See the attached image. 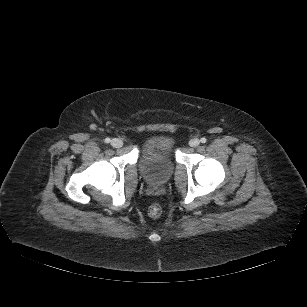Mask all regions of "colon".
I'll use <instances>...</instances> for the list:
<instances>
[{
    "mask_svg": "<svg viewBox=\"0 0 307 307\" xmlns=\"http://www.w3.org/2000/svg\"><path fill=\"white\" fill-rule=\"evenodd\" d=\"M148 212H149V215H150L151 217L157 218V217H159V216L161 215L162 209H161L160 205H158V204H153V205H151V206L149 207Z\"/></svg>",
    "mask_w": 307,
    "mask_h": 307,
    "instance_id": "1",
    "label": "colon"
}]
</instances>
